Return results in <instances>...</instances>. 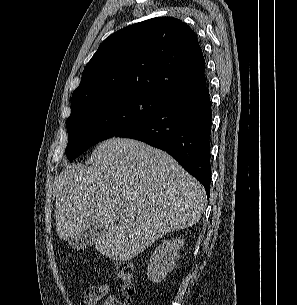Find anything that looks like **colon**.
<instances>
[{
    "instance_id": "5ec220e1",
    "label": "colon",
    "mask_w": 297,
    "mask_h": 305,
    "mask_svg": "<svg viewBox=\"0 0 297 305\" xmlns=\"http://www.w3.org/2000/svg\"><path fill=\"white\" fill-rule=\"evenodd\" d=\"M116 273L118 278L122 281V291L118 298V305H128L131 297L134 294L132 281L134 278V266L130 262H120L116 266Z\"/></svg>"
}]
</instances>
